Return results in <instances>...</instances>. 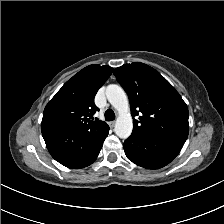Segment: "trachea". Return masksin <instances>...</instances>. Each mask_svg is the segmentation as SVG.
<instances>
[{"instance_id": "obj_1", "label": "trachea", "mask_w": 224, "mask_h": 224, "mask_svg": "<svg viewBox=\"0 0 224 224\" xmlns=\"http://www.w3.org/2000/svg\"><path fill=\"white\" fill-rule=\"evenodd\" d=\"M105 119H106V121H112L115 119V114H114L113 110L108 109L105 112Z\"/></svg>"}]
</instances>
